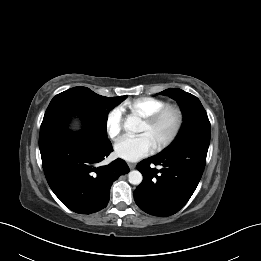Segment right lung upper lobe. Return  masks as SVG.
<instances>
[{"label": "right lung upper lobe", "instance_id": "obj_1", "mask_svg": "<svg viewBox=\"0 0 261 261\" xmlns=\"http://www.w3.org/2000/svg\"><path fill=\"white\" fill-rule=\"evenodd\" d=\"M67 91H68V90H66L65 92H62V93L56 95L53 99L56 100V99L60 98V97H61L62 95H64ZM79 118H80V117H79ZM81 119H82V118H81ZM67 123H68V122H67ZM67 123L64 124V125H61V126H67ZM83 125H84L83 130H85V124H84V121H83ZM83 130H82V131H83Z\"/></svg>", "mask_w": 261, "mask_h": 261}]
</instances>
